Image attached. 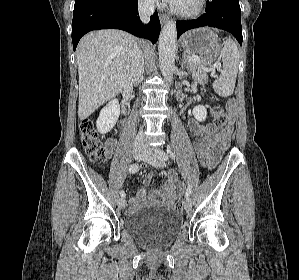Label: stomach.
I'll return each instance as SVG.
<instances>
[{
  "label": "stomach",
  "instance_id": "obj_1",
  "mask_svg": "<svg viewBox=\"0 0 299 280\" xmlns=\"http://www.w3.org/2000/svg\"><path fill=\"white\" fill-rule=\"evenodd\" d=\"M182 47L190 54L199 55L205 66L208 67L221 53V44L216 34L208 28H199L187 32L182 38Z\"/></svg>",
  "mask_w": 299,
  "mask_h": 280
}]
</instances>
